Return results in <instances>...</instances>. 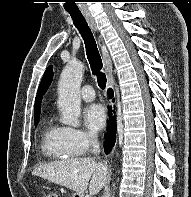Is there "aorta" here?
<instances>
[{
    "mask_svg": "<svg viewBox=\"0 0 191 197\" xmlns=\"http://www.w3.org/2000/svg\"><path fill=\"white\" fill-rule=\"evenodd\" d=\"M83 74L84 64L76 60L70 61L63 69L58 84V108L62 113L60 121L72 127L79 126Z\"/></svg>",
    "mask_w": 191,
    "mask_h": 197,
    "instance_id": "762f6f07",
    "label": "aorta"
}]
</instances>
